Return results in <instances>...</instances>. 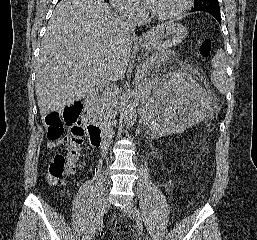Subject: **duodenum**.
Wrapping results in <instances>:
<instances>
[{
  "label": "duodenum",
  "mask_w": 257,
  "mask_h": 240,
  "mask_svg": "<svg viewBox=\"0 0 257 240\" xmlns=\"http://www.w3.org/2000/svg\"><path fill=\"white\" fill-rule=\"evenodd\" d=\"M84 119L85 127L93 147L99 148L106 143L112 135L110 125H100L95 119L94 108L96 104V94L89 92L84 97Z\"/></svg>",
  "instance_id": "1"
}]
</instances>
